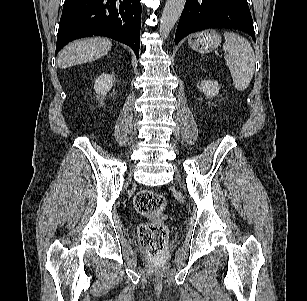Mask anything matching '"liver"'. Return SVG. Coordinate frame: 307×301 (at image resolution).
I'll return each mask as SVG.
<instances>
[{
  "mask_svg": "<svg viewBox=\"0 0 307 301\" xmlns=\"http://www.w3.org/2000/svg\"><path fill=\"white\" fill-rule=\"evenodd\" d=\"M111 47L112 42L103 37L74 41L60 51L58 66L67 68L76 64L94 61L106 55Z\"/></svg>",
  "mask_w": 307,
  "mask_h": 301,
  "instance_id": "liver-1",
  "label": "liver"
}]
</instances>
